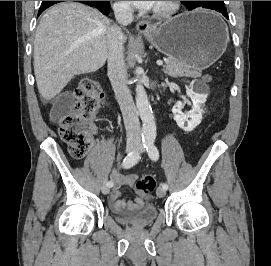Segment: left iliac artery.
Instances as JSON below:
<instances>
[{
    "mask_svg": "<svg viewBox=\"0 0 271 266\" xmlns=\"http://www.w3.org/2000/svg\"><path fill=\"white\" fill-rule=\"evenodd\" d=\"M147 152L149 157L153 160L156 161L159 158V151L157 149V147L154 144V140L150 139L147 142V146H146ZM162 188H164L165 190L168 189V185L166 183H162L161 184Z\"/></svg>",
    "mask_w": 271,
    "mask_h": 266,
    "instance_id": "left-iliac-artery-1",
    "label": "left iliac artery"
}]
</instances>
